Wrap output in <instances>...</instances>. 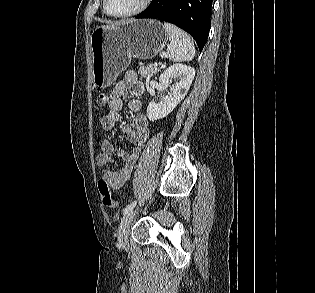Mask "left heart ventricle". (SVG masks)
Wrapping results in <instances>:
<instances>
[{
  "label": "left heart ventricle",
  "mask_w": 315,
  "mask_h": 293,
  "mask_svg": "<svg viewBox=\"0 0 315 293\" xmlns=\"http://www.w3.org/2000/svg\"><path fill=\"white\" fill-rule=\"evenodd\" d=\"M143 0H108L111 12L115 14H125L137 9Z\"/></svg>",
  "instance_id": "b2bd125f"
}]
</instances>
